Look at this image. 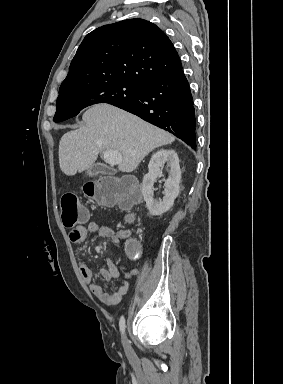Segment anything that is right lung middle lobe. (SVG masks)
Here are the masks:
<instances>
[{
	"label": "right lung middle lobe",
	"mask_w": 283,
	"mask_h": 384,
	"mask_svg": "<svg viewBox=\"0 0 283 384\" xmlns=\"http://www.w3.org/2000/svg\"><path fill=\"white\" fill-rule=\"evenodd\" d=\"M141 92V85L112 80L94 84L63 87L56 102L55 122L76 116L82 109L96 103L118 104L135 99Z\"/></svg>",
	"instance_id": "dd1d6c3e"
}]
</instances>
